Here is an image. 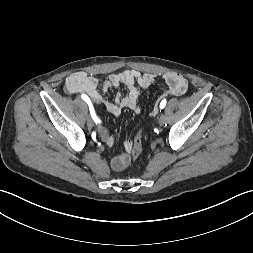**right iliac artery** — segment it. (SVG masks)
<instances>
[{
  "label": "right iliac artery",
  "instance_id": "82829eb1",
  "mask_svg": "<svg viewBox=\"0 0 253 253\" xmlns=\"http://www.w3.org/2000/svg\"><path fill=\"white\" fill-rule=\"evenodd\" d=\"M81 98H82L85 102H87V104L89 105L90 114H91L92 119L96 122V124L99 123L100 120L96 117V114H95V111H94V108H93V106H92V103H91L90 98H89L87 95H85V94H82V95H81Z\"/></svg>",
  "mask_w": 253,
  "mask_h": 253
}]
</instances>
